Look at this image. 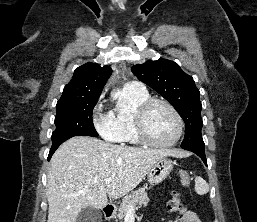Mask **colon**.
Here are the masks:
<instances>
[{
    "mask_svg": "<svg viewBox=\"0 0 257 222\" xmlns=\"http://www.w3.org/2000/svg\"><path fill=\"white\" fill-rule=\"evenodd\" d=\"M178 175H179V178H180V181H181L182 185L188 186L189 183H190V178H189V175H188L187 171L180 170L178 172ZM169 208L171 210H174V211L180 210L181 203H180L179 198H178L177 195H175L173 197V199L169 202Z\"/></svg>",
    "mask_w": 257,
    "mask_h": 222,
    "instance_id": "colon-1",
    "label": "colon"
}]
</instances>
